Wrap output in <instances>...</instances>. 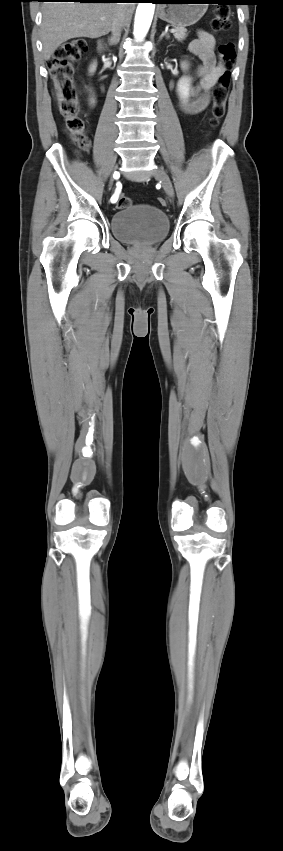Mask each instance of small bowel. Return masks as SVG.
I'll use <instances>...</instances> for the list:
<instances>
[{
	"mask_svg": "<svg viewBox=\"0 0 283 851\" xmlns=\"http://www.w3.org/2000/svg\"><path fill=\"white\" fill-rule=\"evenodd\" d=\"M190 50L201 60L197 76L198 85L194 99L190 102H180L179 107L186 114L202 112L210 102V90L214 87L223 68L215 53V39L208 31H198L197 37L190 43Z\"/></svg>",
	"mask_w": 283,
	"mask_h": 851,
	"instance_id": "small-bowel-1",
	"label": "small bowel"
}]
</instances>
